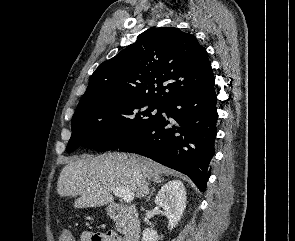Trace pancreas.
Masks as SVG:
<instances>
[{"label": "pancreas", "instance_id": "obj_1", "mask_svg": "<svg viewBox=\"0 0 295 241\" xmlns=\"http://www.w3.org/2000/svg\"><path fill=\"white\" fill-rule=\"evenodd\" d=\"M124 227H125V224H124L123 221H120V222H117L116 223V229H117V231L124 232L125 231L124 230Z\"/></svg>", "mask_w": 295, "mask_h": 241}]
</instances>
